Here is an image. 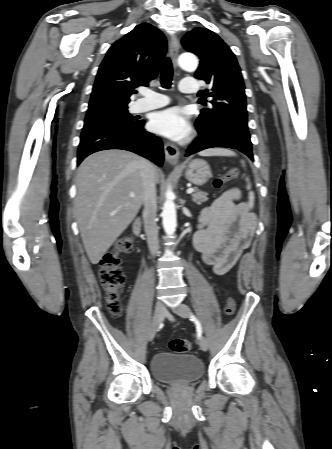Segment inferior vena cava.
Returning <instances> with one entry per match:
<instances>
[{"label": "inferior vena cava", "mask_w": 332, "mask_h": 449, "mask_svg": "<svg viewBox=\"0 0 332 449\" xmlns=\"http://www.w3.org/2000/svg\"><path fill=\"white\" fill-rule=\"evenodd\" d=\"M140 175L144 188V210L143 219L147 243L152 255L156 254L159 249L158 227L156 224V176L153 165L142 159L140 161Z\"/></svg>", "instance_id": "602c4592"}]
</instances>
